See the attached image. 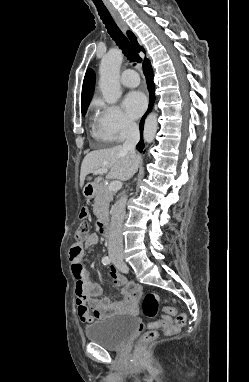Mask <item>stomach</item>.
Segmentation results:
<instances>
[{
    "label": "stomach",
    "instance_id": "0dacf381",
    "mask_svg": "<svg viewBox=\"0 0 249 382\" xmlns=\"http://www.w3.org/2000/svg\"><path fill=\"white\" fill-rule=\"evenodd\" d=\"M83 194L86 198H92L95 194V185L92 180H89L83 189Z\"/></svg>",
    "mask_w": 249,
    "mask_h": 382
}]
</instances>
